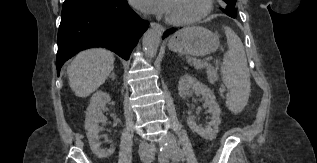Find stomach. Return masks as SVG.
Instances as JSON below:
<instances>
[{
	"label": "stomach",
	"mask_w": 317,
	"mask_h": 163,
	"mask_svg": "<svg viewBox=\"0 0 317 163\" xmlns=\"http://www.w3.org/2000/svg\"><path fill=\"white\" fill-rule=\"evenodd\" d=\"M218 47V35L200 26L186 27L173 35L169 41L172 51L193 56L213 53Z\"/></svg>",
	"instance_id": "stomach-1"
}]
</instances>
